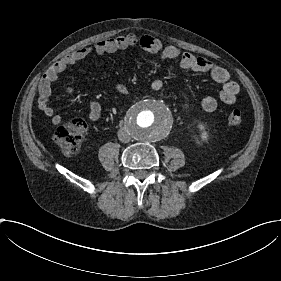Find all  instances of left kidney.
<instances>
[{"mask_svg": "<svg viewBox=\"0 0 281 281\" xmlns=\"http://www.w3.org/2000/svg\"><path fill=\"white\" fill-rule=\"evenodd\" d=\"M199 128L201 129V130H203L204 129V126L203 125H199ZM207 133H206V131H203L202 132V139H204V140H206L207 139Z\"/></svg>", "mask_w": 281, "mask_h": 281, "instance_id": "1", "label": "left kidney"}]
</instances>
